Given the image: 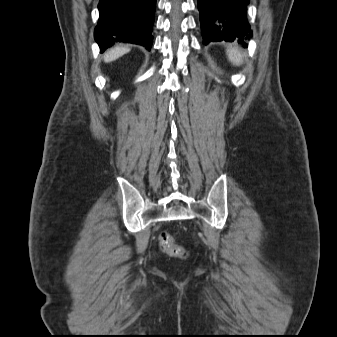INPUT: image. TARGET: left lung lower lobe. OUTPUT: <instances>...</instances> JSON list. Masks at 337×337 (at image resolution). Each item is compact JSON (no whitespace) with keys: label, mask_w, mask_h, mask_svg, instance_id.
Wrapping results in <instances>:
<instances>
[{"label":"left lung lower lobe","mask_w":337,"mask_h":337,"mask_svg":"<svg viewBox=\"0 0 337 337\" xmlns=\"http://www.w3.org/2000/svg\"><path fill=\"white\" fill-rule=\"evenodd\" d=\"M248 3L249 0H198L204 44L250 40L252 31L246 16Z\"/></svg>","instance_id":"1"}]
</instances>
